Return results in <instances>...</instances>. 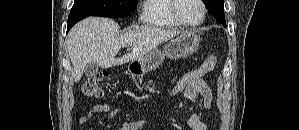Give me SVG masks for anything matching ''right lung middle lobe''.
I'll use <instances>...</instances> for the list:
<instances>
[{
  "label": "right lung middle lobe",
  "mask_w": 299,
  "mask_h": 130,
  "mask_svg": "<svg viewBox=\"0 0 299 130\" xmlns=\"http://www.w3.org/2000/svg\"><path fill=\"white\" fill-rule=\"evenodd\" d=\"M138 0H74L70 14L119 18L129 16Z\"/></svg>",
  "instance_id": "right-lung-middle-lobe-1"
}]
</instances>
